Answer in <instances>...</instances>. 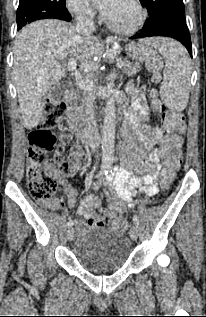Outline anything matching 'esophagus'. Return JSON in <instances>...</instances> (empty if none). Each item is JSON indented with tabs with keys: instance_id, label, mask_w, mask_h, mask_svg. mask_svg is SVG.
I'll list each match as a JSON object with an SVG mask.
<instances>
[{
	"instance_id": "obj_1",
	"label": "esophagus",
	"mask_w": 206,
	"mask_h": 317,
	"mask_svg": "<svg viewBox=\"0 0 206 317\" xmlns=\"http://www.w3.org/2000/svg\"><path fill=\"white\" fill-rule=\"evenodd\" d=\"M106 40H107V41H116L117 39H116V37L108 36V37L106 38Z\"/></svg>"
}]
</instances>
